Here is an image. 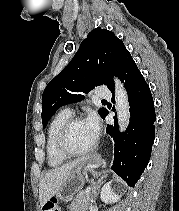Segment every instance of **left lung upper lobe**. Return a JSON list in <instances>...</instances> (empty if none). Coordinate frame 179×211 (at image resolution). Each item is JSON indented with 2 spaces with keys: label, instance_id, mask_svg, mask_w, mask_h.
Segmentation results:
<instances>
[{
  "label": "left lung upper lobe",
  "instance_id": "5c2ea615",
  "mask_svg": "<svg viewBox=\"0 0 179 211\" xmlns=\"http://www.w3.org/2000/svg\"><path fill=\"white\" fill-rule=\"evenodd\" d=\"M130 53L115 34L100 27L82 41L70 63L45 88L42 95V123L46 127L61 106L82 101L98 85L113 86L123 61ZM106 109L99 110L102 117Z\"/></svg>",
  "mask_w": 179,
  "mask_h": 211
}]
</instances>
